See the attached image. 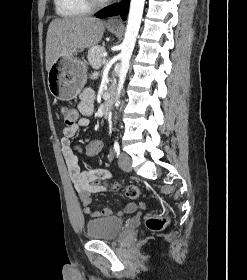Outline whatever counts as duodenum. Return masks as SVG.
I'll use <instances>...</instances> for the list:
<instances>
[{"label":"duodenum","instance_id":"obj_1","mask_svg":"<svg viewBox=\"0 0 247 280\" xmlns=\"http://www.w3.org/2000/svg\"><path fill=\"white\" fill-rule=\"evenodd\" d=\"M112 105H113L112 93H106L104 96V103H103V115L105 118L109 117Z\"/></svg>","mask_w":247,"mask_h":280}]
</instances>
